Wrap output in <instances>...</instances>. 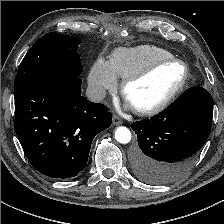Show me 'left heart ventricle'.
Instances as JSON below:
<instances>
[{"label": "left heart ventricle", "instance_id": "obj_1", "mask_svg": "<svg viewBox=\"0 0 224 224\" xmlns=\"http://www.w3.org/2000/svg\"><path fill=\"white\" fill-rule=\"evenodd\" d=\"M184 74L178 63L163 65L148 77L128 88V102L135 108H149L165 99L180 83Z\"/></svg>", "mask_w": 224, "mask_h": 224}]
</instances>
